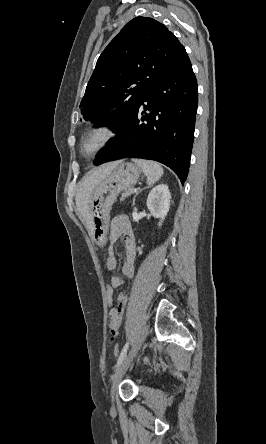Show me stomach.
Instances as JSON below:
<instances>
[{"mask_svg":"<svg viewBox=\"0 0 266 444\" xmlns=\"http://www.w3.org/2000/svg\"><path fill=\"white\" fill-rule=\"evenodd\" d=\"M142 169L132 162H120L114 170L93 191L88 203L92 236L101 243L109 223V213L118 194L133 187Z\"/></svg>","mask_w":266,"mask_h":444,"instance_id":"0dacf381","label":"stomach"}]
</instances>
